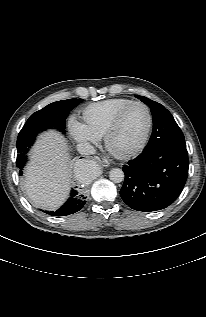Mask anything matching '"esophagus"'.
<instances>
[{
	"mask_svg": "<svg viewBox=\"0 0 206 317\" xmlns=\"http://www.w3.org/2000/svg\"><path fill=\"white\" fill-rule=\"evenodd\" d=\"M96 159H98V158H96ZM99 161H100V164H102V165L104 164V161H103V160H100V159H99Z\"/></svg>",
	"mask_w": 206,
	"mask_h": 317,
	"instance_id": "obj_1",
	"label": "esophagus"
}]
</instances>
